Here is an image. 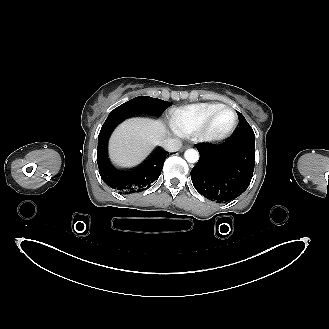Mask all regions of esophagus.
Instances as JSON below:
<instances>
[{"instance_id":"obj_1","label":"esophagus","mask_w":329,"mask_h":329,"mask_svg":"<svg viewBox=\"0 0 329 329\" xmlns=\"http://www.w3.org/2000/svg\"><path fill=\"white\" fill-rule=\"evenodd\" d=\"M186 148H188V146H184L182 149H186Z\"/></svg>"}]
</instances>
